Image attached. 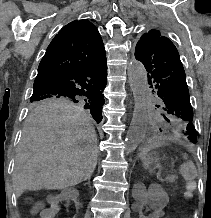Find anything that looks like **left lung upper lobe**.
<instances>
[{
	"label": "left lung upper lobe",
	"mask_w": 211,
	"mask_h": 218,
	"mask_svg": "<svg viewBox=\"0 0 211 218\" xmlns=\"http://www.w3.org/2000/svg\"><path fill=\"white\" fill-rule=\"evenodd\" d=\"M135 58L143 63L148 84L160 98L155 110L169 132L195 144L197 137L186 75L174 44L159 31L150 30L138 41Z\"/></svg>",
	"instance_id": "left-lung-upper-lobe-1"
}]
</instances>
